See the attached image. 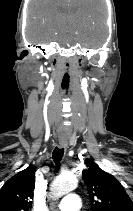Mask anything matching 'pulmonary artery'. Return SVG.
I'll list each match as a JSON object with an SVG mask.
<instances>
[{"instance_id": "1", "label": "pulmonary artery", "mask_w": 133, "mask_h": 211, "mask_svg": "<svg viewBox=\"0 0 133 211\" xmlns=\"http://www.w3.org/2000/svg\"><path fill=\"white\" fill-rule=\"evenodd\" d=\"M80 207V197L74 193L66 195L57 204V208L59 211H79Z\"/></svg>"}]
</instances>
